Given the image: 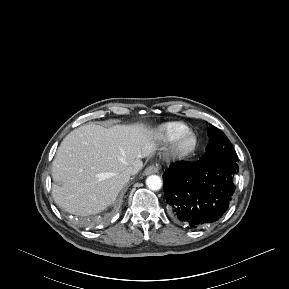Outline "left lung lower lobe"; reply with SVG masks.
Masks as SVG:
<instances>
[{"label": "left lung lower lobe", "instance_id": "1", "mask_svg": "<svg viewBox=\"0 0 289 289\" xmlns=\"http://www.w3.org/2000/svg\"><path fill=\"white\" fill-rule=\"evenodd\" d=\"M237 171L236 162L219 164L203 158L171 165L163 180L174 216L192 228L217 221L232 200Z\"/></svg>", "mask_w": 289, "mask_h": 289}]
</instances>
